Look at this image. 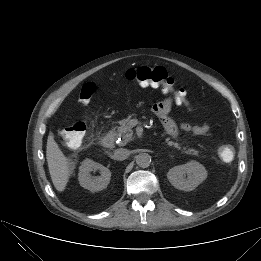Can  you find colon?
<instances>
[{"label": "colon", "mask_w": 261, "mask_h": 261, "mask_svg": "<svg viewBox=\"0 0 261 261\" xmlns=\"http://www.w3.org/2000/svg\"><path fill=\"white\" fill-rule=\"evenodd\" d=\"M126 78L142 85L159 86L166 93H171L178 104L190 106L186 91L176 88L174 80L169 76L165 68L155 67H135L126 71ZM96 92V85L93 82L84 84L79 93V101L83 105L90 103ZM60 134L66 144L72 148H78L82 145L86 134V125L83 122H76L72 125L62 128ZM218 155L224 162H231L235 156V150L230 144H222L218 147Z\"/></svg>", "instance_id": "5ec220e1"}]
</instances>
